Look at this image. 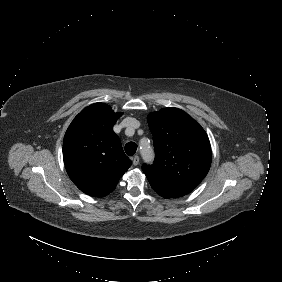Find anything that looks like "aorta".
<instances>
[{"label":"aorta","mask_w":282,"mask_h":282,"mask_svg":"<svg viewBox=\"0 0 282 282\" xmlns=\"http://www.w3.org/2000/svg\"><path fill=\"white\" fill-rule=\"evenodd\" d=\"M141 156L143 158V160L147 163H150L153 161L154 159V153L153 150L151 149L150 145L145 146L141 148L140 150Z\"/></svg>","instance_id":"obj_1"}]
</instances>
